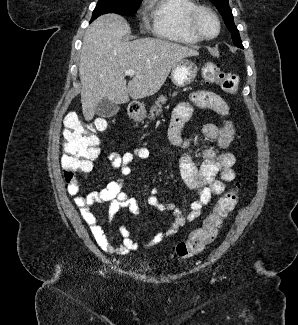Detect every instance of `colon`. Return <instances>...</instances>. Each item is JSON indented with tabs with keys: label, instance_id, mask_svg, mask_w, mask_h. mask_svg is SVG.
<instances>
[{
	"label": "colon",
	"instance_id": "5ec220e1",
	"mask_svg": "<svg viewBox=\"0 0 298 325\" xmlns=\"http://www.w3.org/2000/svg\"><path fill=\"white\" fill-rule=\"evenodd\" d=\"M201 71L207 83L218 85L228 95L238 94L239 82L236 75L226 72L213 62L204 63ZM107 125V121L102 118L87 122L77 113L66 116L61 164L63 177L68 184L77 181L80 175L90 169L92 160L99 154L96 133L104 131ZM237 202L236 189L221 196L203 224L192 231L186 241L176 245L175 256L186 259L201 253L216 239L224 219L235 209Z\"/></svg>",
	"mask_w": 298,
	"mask_h": 325
}]
</instances>
